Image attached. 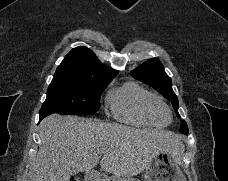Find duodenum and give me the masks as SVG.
I'll use <instances>...</instances> for the list:
<instances>
[{
  "label": "duodenum",
  "instance_id": "duodenum-1",
  "mask_svg": "<svg viewBox=\"0 0 228 181\" xmlns=\"http://www.w3.org/2000/svg\"><path fill=\"white\" fill-rule=\"evenodd\" d=\"M86 181H100L99 180V174H96L95 172H86Z\"/></svg>",
  "mask_w": 228,
  "mask_h": 181
}]
</instances>
